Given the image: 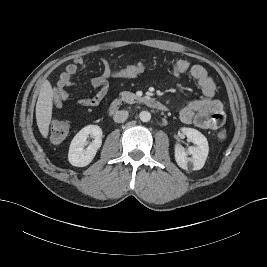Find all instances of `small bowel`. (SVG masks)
<instances>
[{
	"mask_svg": "<svg viewBox=\"0 0 267 267\" xmlns=\"http://www.w3.org/2000/svg\"><path fill=\"white\" fill-rule=\"evenodd\" d=\"M101 64L103 67L102 73L90 81L94 93L78 100V104L82 107L98 106L108 93L112 69L106 59H102ZM85 68L86 63L82 57L75 58L66 66L54 89L53 104L55 107H61L69 99V90L74 84L75 76ZM189 72L201 88L203 98L191 101L182 107L178 111L179 118L185 124H194L202 129L216 130L224 124L226 119L222 103L215 99L216 84L201 65H193Z\"/></svg>",
	"mask_w": 267,
	"mask_h": 267,
	"instance_id": "small-bowel-1",
	"label": "small bowel"
}]
</instances>
